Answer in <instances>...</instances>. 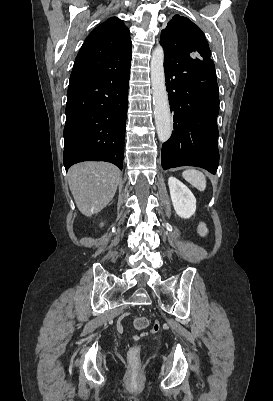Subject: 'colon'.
<instances>
[{
    "label": "colon",
    "mask_w": 273,
    "mask_h": 401,
    "mask_svg": "<svg viewBox=\"0 0 273 401\" xmlns=\"http://www.w3.org/2000/svg\"><path fill=\"white\" fill-rule=\"evenodd\" d=\"M135 325L137 327L138 332L143 333L146 330L148 322L146 319H143L141 316H138L136 318ZM142 350L143 347L141 344H132L130 349H125L124 351V356L125 358H129V363H130L127 369L128 372L127 378L129 381H140L142 378L141 365H140V356Z\"/></svg>",
    "instance_id": "1"
}]
</instances>
